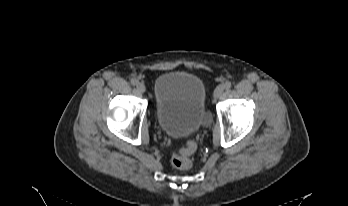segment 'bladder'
Masks as SVG:
<instances>
[{
	"label": "bladder",
	"mask_w": 348,
	"mask_h": 206,
	"mask_svg": "<svg viewBox=\"0 0 348 206\" xmlns=\"http://www.w3.org/2000/svg\"><path fill=\"white\" fill-rule=\"evenodd\" d=\"M155 115L159 128L174 139L196 135L210 122L203 81L184 72H166L154 82Z\"/></svg>",
	"instance_id": "1"
}]
</instances>
